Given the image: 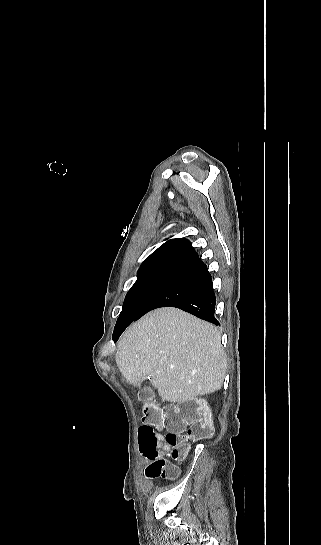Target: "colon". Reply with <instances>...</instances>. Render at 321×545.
<instances>
[{
    "label": "colon",
    "mask_w": 321,
    "mask_h": 545,
    "mask_svg": "<svg viewBox=\"0 0 321 545\" xmlns=\"http://www.w3.org/2000/svg\"><path fill=\"white\" fill-rule=\"evenodd\" d=\"M138 397L143 402L142 425L138 429L140 448L148 459H158L161 438L156 430L165 419L168 420L165 441L174 460H181L187 455L189 442L210 438L214 433L211 415L202 404L183 403L162 409L150 390H140ZM158 476L175 478L177 470L166 461H158L154 477Z\"/></svg>",
    "instance_id": "colon-1"
}]
</instances>
